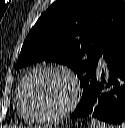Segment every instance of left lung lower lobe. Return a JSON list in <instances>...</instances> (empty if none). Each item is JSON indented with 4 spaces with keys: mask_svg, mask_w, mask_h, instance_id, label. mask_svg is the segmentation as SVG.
Returning <instances> with one entry per match:
<instances>
[{
    "mask_svg": "<svg viewBox=\"0 0 125 128\" xmlns=\"http://www.w3.org/2000/svg\"><path fill=\"white\" fill-rule=\"evenodd\" d=\"M72 118L94 117L125 128V28L108 44Z\"/></svg>",
    "mask_w": 125,
    "mask_h": 128,
    "instance_id": "left-lung-lower-lobe-1",
    "label": "left lung lower lobe"
}]
</instances>
